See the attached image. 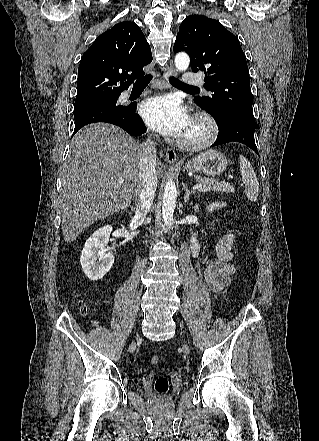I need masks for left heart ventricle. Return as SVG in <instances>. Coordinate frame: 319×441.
<instances>
[{
    "instance_id": "1",
    "label": "left heart ventricle",
    "mask_w": 319,
    "mask_h": 441,
    "mask_svg": "<svg viewBox=\"0 0 319 441\" xmlns=\"http://www.w3.org/2000/svg\"><path fill=\"white\" fill-rule=\"evenodd\" d=\"M200 134H201V128L197 125L190 124L184 136L191 138V137L199 136Z\"/></svg>"
}]
</instances>
